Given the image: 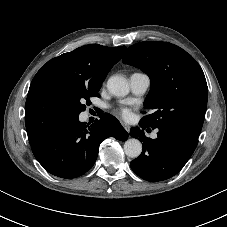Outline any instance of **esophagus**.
Here are the masks:
<instances>
[{
  "label": "esophagus",
  "instance_id": "esophagus-1",
  "mask_svg": "<svg viewBox=\"0 0 227 227\" xmlns=\"http://www.w3.org/2000/svg\"><path fill=\"white\" fill-rule=\"evenodd\" d=\"M123 128L129 133L130 132V126L124 122L121 123Z\"/></svg>",
  "mask_w": 227,
  "mask_h": 227
}]
</instances>
